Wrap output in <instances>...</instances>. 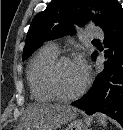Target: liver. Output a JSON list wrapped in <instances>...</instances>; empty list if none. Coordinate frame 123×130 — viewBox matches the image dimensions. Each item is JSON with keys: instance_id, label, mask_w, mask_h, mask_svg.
<instances>
[{"instance_id": "6515ba94", "label": "liver", "mask_w": 123, "mask_h": 130, "mask_svg": "<svg viewBox=\"0 0 123 130\" xmlns=\"http://www.w3.org/2000/svg\"><path fill=\"white\" fill-rule=\"evenodd\" d=\"M75 108L62 104H32L23 115L19 130H56L76 118Z\"/></svg>"}]
</instances>
